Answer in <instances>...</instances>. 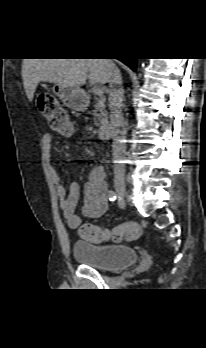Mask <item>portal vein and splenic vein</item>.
Instances as JSON below:
<instances>
[{
    "instance_id": "1",
    "label": "portal vein and splenic vein",
    "mask_w": 206,
    "mask_h": 348,
    "mask_svg": "<svg viewBox=\"0 0 206 348\" xmlns=\"http://www.w3.org/2000/svg\"><path fill=\"white\" fill-rule=\"evenodd\" d=\"M92 91L94 94H96L98 96H102L104 94V88L102 86H99V85H95L92 88Z\"/></svg>"
}]
</instances>
